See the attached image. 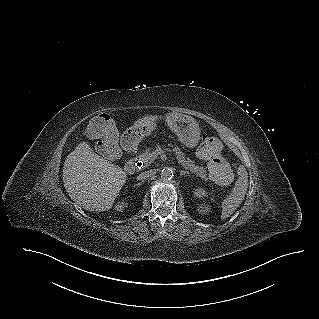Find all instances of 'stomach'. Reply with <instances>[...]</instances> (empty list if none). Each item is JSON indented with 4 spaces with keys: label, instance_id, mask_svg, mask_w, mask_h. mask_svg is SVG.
Returning <instances> with one entry per match:
<instances>
[{
    "label": "stomach",
    "instance_id": "1",
    "mask_svg": "<svg viewBox=\"0 0 319 319\" xmlns=\"http://www.w3.org/2000/svg\"><path fill=\"white\" fill-rule=\"evenodd\" d=\"M166 121L170 129L178 136L179 140L188 148L195 147L200 140V128L198 123L190 116L172 113L167 115ZM155 122L149 125H133L126 133L139 141L142 136L148 134Z\"/></svg>",
    "mask_w": 319,
    "mask_h": 319
}]
</instances>
